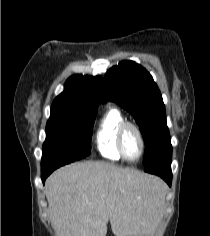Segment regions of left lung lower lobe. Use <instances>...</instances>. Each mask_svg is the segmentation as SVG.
Segmentation results:
<instances>
[{
  "label": "left lung lower lobe",
  "mask_w": 210,
  "mask_h": 236,
  "mask_svg": "<svg viewBox=\"0 0 210 236\" xmlns=\"http://www.w3.org/2000/svg\"><path fill=\"white\" fill-rule=\"evenodd\" d=\"M172 147L158 155L152 162L144 166L147 173L155 174L163 178L169 186H171L172 172Z\"/></svg>",
  "instance_id": "1"
}]
</instances>
